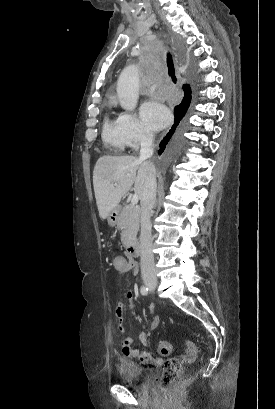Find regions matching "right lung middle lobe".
I'll return each mask as SVG.
<instances>
[{
    "instance_id": "1",
    "label": "right lung middle lobe",
    "mask_w": 275,
    "mask_h": 409,
    "mask_svg": "<svg viewBox=\"0 0 275 409\" xmlns=\"http://www.w3.org/2000/svg\"><path fill=\"white\" fill-rule=\"evenodd\" d=\"M190 102L191 98L175 107L174 125L167 133L166 137L161 141L158 150L159 154L166 158H175L183 152L186 143L185 132L187 128V117L183 120L182 118L185 116L190 106ZM173 163L172 160L170 162L167 160H153L151 162V167L153 169H162L164 173H170L172 171L171 165Z\"/></svg>"
}]
</instances>
